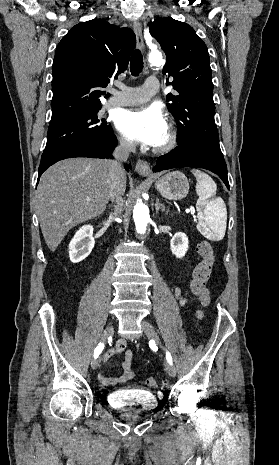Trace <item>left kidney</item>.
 Segmentation results:
<instances>
[{
	"mask_svg": "<svg viewBox=\"0 0 279 465\" xmlns=\"http://www.w3.org/2000/svg\"><path fill=\"white\" fill-rule=\"evenodd\" d=\"M170 247L172 253L177 258H183L189 247V241L186 234L182 232L175 233L170 241Z\"/></svg>",
	"mask_w": 279,
	"mask_h": 465,
	"instance_id": "left-kidney-1",
	"label": "left kidney"
}]
</instances>
